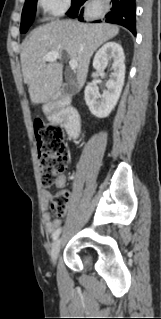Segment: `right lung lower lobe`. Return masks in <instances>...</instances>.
Returning a JSON list of instances; mask_svg holds the SVG:
<instances>
[{"label":"right lung lower lobe","instance_id":"1","mask_svg":"<svg viewBox=\"0 0 161 319\" xmlns=\"http://www.w3.org/2000/svg\"><path fill=\"white\" fill-rule=\"evenodd\" d=\"M85 1L86 0H77L72 4L67 14L72 18L83 21L84 8L82 5ZM109 6L110 11L103 20L109 23L122 25L136 35L135 0H110Z\"/></svg>","mask_w":161,"mask_h":319}]
</instances>
